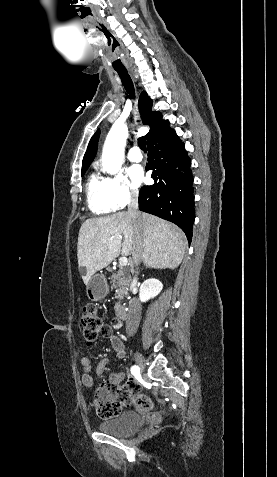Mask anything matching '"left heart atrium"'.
<instances>
[{
	"instance_id": "left-heart-atrium-1",
	"label": "left heart atrium",
	"mask_w": 277,
	"mask_h": 477,
	"mask_svg": "<svg viewBox=\"0 0 277 477\" xmlns=\"http://www.w3.org/2000/svg\"><path fill=\"white\" fill-rule=\"evenodd\" d=\"M130 176L135 185H140L144 179L143 170L140 166H133L129 170Z\"/></svg>"
}]
</instances>
